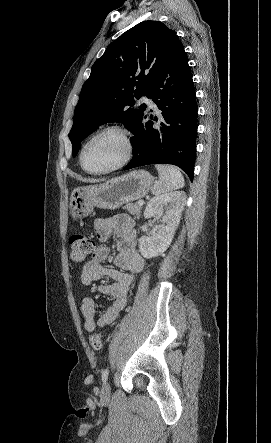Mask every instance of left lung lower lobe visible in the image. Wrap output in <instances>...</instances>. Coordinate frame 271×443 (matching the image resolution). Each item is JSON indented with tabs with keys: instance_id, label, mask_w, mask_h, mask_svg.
<instances>
[{
	"instance_id": "left-lung-lower-lobe-1",
	"label": "left lung lower lobe",
	"mask_w": 271,
	"mask_h": 443,
	"mask_svg": "<svg viewBox=\"0 0 271 443\" xmlns=\"http://www.w3.org/2000/svg\"><path fill=\"white\" fill-rule=\"evenodd\" d=\"M147 97L157 105L158 117L144 112L131 139L134 156L123 170L149 164H173L193 180L197 102L182 44L173 50L152 78ZM149 115L157 123L146 122Z\"/></svg>"
}]
</instances>
